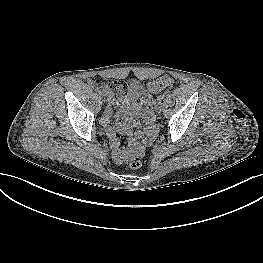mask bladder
Masks as SVG:
<instances>
[{"instance_id": "obj_1", "label": "bladder", "mask_w": 263, "mask_h": 263, "mask_svg": "<svg viewBox=\"0 0 263 263\" xmlns=\"http://www.w3.org/2000/svg\"><path fill=\"white\" fill-rule=\"evenodd\" d=\"M137 109H138V107H136V106H132V107H130L129 109H128V113H130V114H135L136 112H137Z\"/></svg>"}]
</instances>
